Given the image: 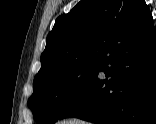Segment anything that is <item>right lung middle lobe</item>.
<instances>
[{
  "label": "right lung middle lobe",
  "instance_id": "obj_1",
  "mask_svg": "<svg viewBox=\"0 0 156 124\" xmlns=\"http://www.w3.org/2000/svg\"><path fill=\"white\" fill-rule=\"evenodd\" d=\"M100 59L58 68L34 79V93L28 100L38 124H54L62 113L86 90L94 78Z\"/></svg>",
  "mask_w": 156,
  "mask_h": 124
}]
</instances>
